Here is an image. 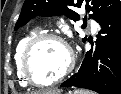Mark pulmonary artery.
I'll use <instances>...</instances> for the list:
<instances>
[{
	"label": "pulmonary artery",
	"mask_w": 121,
	"mask_h": 94,
	"mask_svg": "<svg viewBox=\"0 0 121 94\" xmlns=\"http://www.w3.org/2000/svg\"><path fill=\"white\" fill-rule=\"evenodd\" d=\"M91 26H92V30L93 32H96L98 29V23L94 20L91 21Z\"/></svg>",
	"instance_id": "e3ab8cb5"
}]
</instances>
